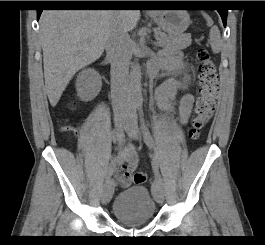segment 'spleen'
Listing matches in <instances>:
<instances>
[{"label": "spleen", "instance_id": "obj_1", "mask_svg": "<svg viewBox=\"0 0 265 245\" xmlns=\"http://www.w3.org/2000/svg\"><path fill=\"white\" fill-rule=\"evenodd\" d=\"M203 16L206 19L208 26H211L210 44H211L212 50L214 53H218L222 46L219 29L217 26H212L213 22L206 13H203Z\"/></svg>", "mask_w": 265, "mask_h": 245}]
</instances>
